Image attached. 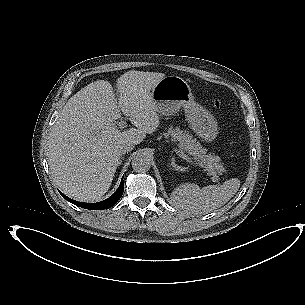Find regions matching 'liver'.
Instances as JSON below:
<instances>
[{
	"instance_id": "liver-1",
	"label": "liver",
	"mask_w": 305,
	"mask_h": 305,
	"mask_svg": "<svg viewBox=\"0 0 305 305\" xmlns=\"http://www.w3.org/2000/svg\"><path fill=\"white\" fill-rule=\"evenodd\" d=\"M163 77L155 75L152 88ZM121 112L137 129L120 132L114 127ZM159 124L146 88L119 83L115 93L108 81L90 83L67 101L51 129L47 157L53 180L76 200H100L120 165V143L139 144Z\"/></svg>"
}]
</instances>
